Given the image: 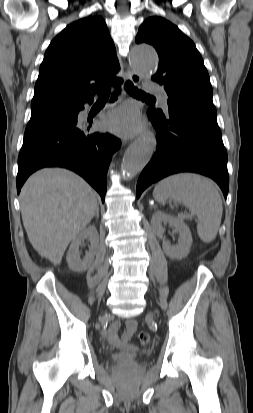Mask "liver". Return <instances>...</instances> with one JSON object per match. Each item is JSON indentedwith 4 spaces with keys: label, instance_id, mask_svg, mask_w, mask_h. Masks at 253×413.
<instances>
[{
    "label": "liver",
    "instance_id": "obj_1",
    "mask_svg": "<svg viewBox=\"0 0 253 413\" xmlns=\"http://www.w3.org/2000/svg\"><path fill=\"white\" fill-rule=\"evenodd\" d=\"M22 221L38 254L59 265L64 252L90 223L97 195L77 174L45 168L31 175L20 193Z\"/></svg>",
    "mask_w": 253,
    "mask_h": 413
}]
</instances>
